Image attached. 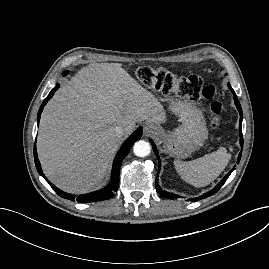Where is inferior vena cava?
<instances>
[{"label":"inferior vena cava","mask_w":269,"mask_h":269,"mask_svg":"<svg viewBox=\"0 0 269 269\" xmlns=\"http://www.w3.org/2000/svg\"><path fill=\"white\" fill-rule=\"evenodd\" d=\"M125 131H126V127L125 126H118V127H116V130H115L116 135L118 137H120V138L125 134Z\"/></svg>","instance_id":"1"}]
</instances>
